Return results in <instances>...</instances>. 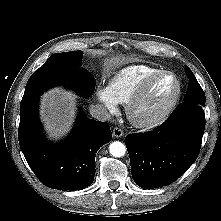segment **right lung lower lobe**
I'll list each match as a JSON object with an SVG mask.
<instances>
[{
	"label": "right lung lower lobe",
	"mask_w": 221,
	"mask_h": 221,
	"mask_svg": "<svg viewBox=\"0 0 221 221\" xmlns=\"http://www.w3.org/2000/svg\"><path fill=\"white\" fill-rule=\"evenodd\" d=\"M37 106L38 98L20 108L18 139L30 168L52 189L75 191L88 187L94 179L96 152L112 139L110 127L80 113L68 140L53 145L44 139Z\"/></svg>",
	"instance_id": "1"
}]
</instances>
